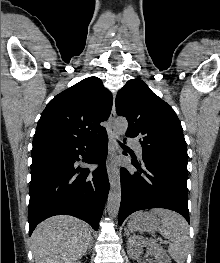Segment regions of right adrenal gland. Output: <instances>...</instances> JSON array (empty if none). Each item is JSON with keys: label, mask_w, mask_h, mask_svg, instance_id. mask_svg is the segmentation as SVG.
<instances>
[{"label": "right adrenal gland", "mask_w": 220, "mask_h": 263, "mask_svg": "<svg viewBox=\"0 0 220 263\" xmlns=\"http://www.w3.org/2000/svg\"><path fill=\"white\" fill-rule=\"evenodd\" d=\"M92 244H93V240L91 239L90 244H89V246H88V251L91 250Z\"/></svg>", "instance_id": "2a0ac1e0"}]
</instances>
